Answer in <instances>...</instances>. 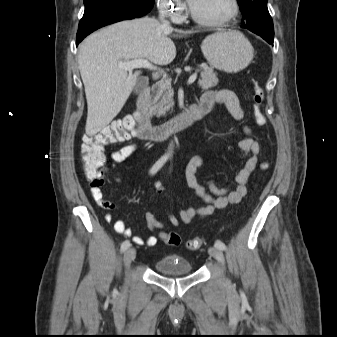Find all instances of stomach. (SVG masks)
<instances>
[{"label":"stomach","instance_id":"1","mask_svg":"<svg viewBox=\"0 0 337 337\" xmlns=\"http://www.w3.org/2000/svg\"><path fill=\"white\" fill-rule=\"evenodd\" d=\"M201 49L212 67L227 73L245 69L254 56L251 43L239 31L212 34L204 39Z\"/></svg>","mask_w":337,"mask_h":337}]
</instances>
